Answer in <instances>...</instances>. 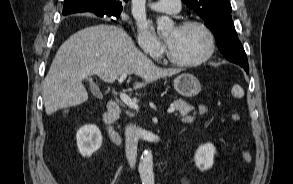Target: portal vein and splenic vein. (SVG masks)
Instances as JSON below:
<instances>
[{"label": "portal vein and splenic vein", "instance_id": "18ae733b", "mask_svg": "<svg viewBox=\"0 0 293 184\" xmlns=\"http://www.w3.org/2000/svg\"><path fill=\"white\" fill-rule=\"evenodd\" d=\"M127 77V74H122L119 78V83H122ZM120 99L130 108L138 110V104L136 101L132 100L128 95L125 93H120ZM168 113H173L175 111L174 107H170L168 110Z\"/></svg>", "mask_w": 293, "mask_h": 184}]
</instances>
